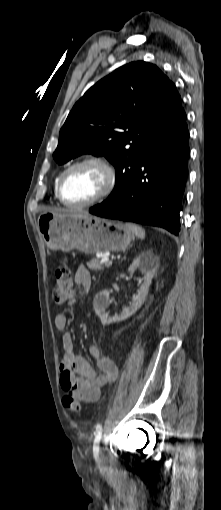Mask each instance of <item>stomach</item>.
<instances>
[{
    "instance_id": "1",
    "label": "stomach",
    "mask_w": 221,
    "mask_h": 510,
    "mask_svg": "<svg viewBox=\"0 0 221 510\" xmlns=\"http://www.w3.org/2000/svg\"><path fill=\"white\" fill-rule=\"evenodd\" d=\"M38 230L51 250L76 249L85 254L122 251L133 238L122 222L87 213L43 212Z\"/></svg>"
}]
</instances>
